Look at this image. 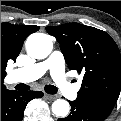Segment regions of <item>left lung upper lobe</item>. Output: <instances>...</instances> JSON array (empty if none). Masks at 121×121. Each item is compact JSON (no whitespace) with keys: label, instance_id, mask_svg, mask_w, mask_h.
<instances>
[{"label":"left lung upper lobe","instance_id":"1","mask_svg":"<svg viewBox=\"0 0 121 121\" xmlns=\"http://www.w3.org/2000/svg\"><path fill=\"white\" fill-rule=\"evenodd\" d=\"M46 29L60 43L69 68L84 73L77 99L109 115L121 89V56L114 40L102 30L78 23Z\"/></svg>","mask_w":121,"mask_h":121}]
</instances>
